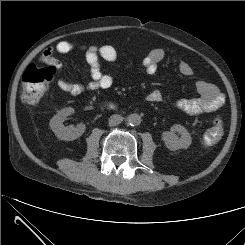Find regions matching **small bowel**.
<instances>
[{
    "instance_id": "small-bowel-1",
    "label": "small bowel",
    "mask_w": 245,
    "mask_h": 245,
    "mask_svg": "<svg viewBox=\"0 0 245 245\" xmlns=\"http://www.w3.org/2000/svg\"><path fill=\"white\" fill-rule=\"evenodd\" d=\"M72 52H81L85 56L91 77L90 81L86 84L67 81L63 76L64 67L62 62L54 56L55 53L66 54ZM117 56L116 49L110 45L100 47L83 46L69 41H61L55 46L44 50L39 57V61L51 66L58 73L57 84L60 89L73 96H78L85 90L107 89L112 86V77L102 72L101 60L114 62ZM166 56L167 53L163 49L151 50L142 61L146 73L148 75L154 74L158 65ZM178 70L185 77H190L193 74V68L187 62H180ZM196 90L198 97L176 102L175 107L178 111L188 115L208 113L218 109L225 102V97L217 86L208 81H197ZM148 99L151 102H158L161 100V95L154 91L149 94Z\"/></svg>"
}]
</instances>
